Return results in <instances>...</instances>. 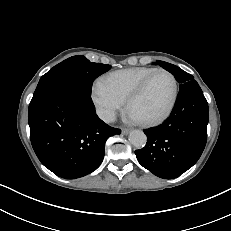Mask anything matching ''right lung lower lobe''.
<instances>
[{
	"instance_id": "98d812e1",
	"label": "right lung lower lobe",
	"mask_w": 231,
	"mask_h": 231,
	"mask_svg": "<svg viewBox=\"0 0 231 231\" xmlns=\"http://www.w3.org/2000/svg\"><path fill=\"white\" fill-rule=\"evenodd\" d=\"M33 149L41 163L57 176L75 179L96 170L106 140L121 130L96 114L91 94L59 85L29 105Z\"/></svg>"
}]
</instances>
